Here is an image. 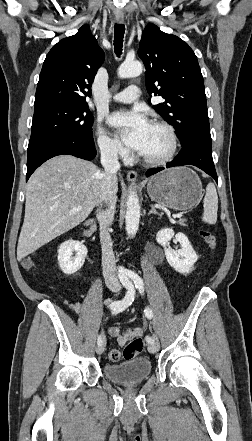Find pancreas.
<instances>
[{
  "label": "pancreas",
  "mask_w": 252,
  "mask_h": 441,
  "mask_svg": "<svg viewBox=\"0 0 252 441\" xmlns=\"http://www.w3.org/2000/svg\"><path fill=\"white\" fill-rule=\"evenodd\" d=\"M178 224L181 226H186L185 220H183V219L179 220Z\"/></svg>",
  "instance_id": "pancreas-1"
}]
</instances>
